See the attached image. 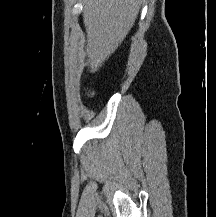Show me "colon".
<instances>
[{
    "instance_id": "1",
    "label": "colon",
    "mask_w": 216,
    "mask_h": 217,
    "mask_svg": "<svg viewBox=\"0 0 216 217\" xmlns=\"http://www.w3.org/2000/svg\"><path fill=\"white\" fill-rule=\"evenodd\" d=\"M86 95H87L88 97H92V96L94 95V92H93L91 89H87V90H86Z\"/></svg>"
}]
</instances>
